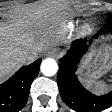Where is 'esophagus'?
I'll return each mask as SVG.
<instances>
[{
	"instance_id": "obj_1",
	"label": "esophagus",
	"mask_w": 112,
	"mask_h": 112,
	"mask_svg": "<svg viewBox=\"0 0 112 112\" xmlns=\"http://www.w3.org/2000/svg\"><path fill=\"white\" fill-rule=\"evenodd\" d=\"M48 55L51 56V57H58L59 55V51L57 49H51L49 52H48Z\"/></svg>"
}]
</instances>
